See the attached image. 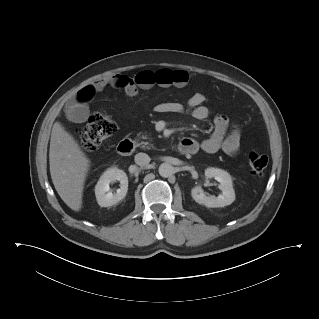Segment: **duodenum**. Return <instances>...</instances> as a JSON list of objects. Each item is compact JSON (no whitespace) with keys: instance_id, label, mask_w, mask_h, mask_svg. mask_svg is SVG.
Instances as JSON below:
<instances>
[{"instance_id":"duodenum-1","label":"duodenum","mask_w":319,"mask_h":319,"mask_svg":"<svg viewBox=\"0 0 319 319\" xmlns=\"http://www.w3.org/2000/svg\"><path fill=\"white\" fill-rule=\"evenodd\" d=\"M194 148V144L188 141H183L180 143L178 150L182 155L191 154V150ZM134 149V143L132 140L125 139L122 140L117 147L118 153L121 155H127Z\"/></svg>"}]
</instances>
